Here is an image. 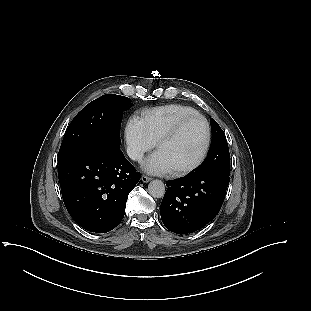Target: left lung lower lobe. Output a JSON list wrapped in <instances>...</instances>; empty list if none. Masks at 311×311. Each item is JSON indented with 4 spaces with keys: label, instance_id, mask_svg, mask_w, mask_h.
<instances>
[{
    "label": "left lung lower lobe",
    "instance_id": "0a47b994",
    "mask_svg": "<svg viewBox=\"0 0 311 311\" xmlns=\"http://www.w3.org/2000/svg\"><path fill=\"white\" fill-rule=\"evenodd\" d=\"M160 206L162 222L177 234L201 229L218 214L229 185V176L217 172L194 173L166 182Z\"/></svg>",
    "mask_w": 311,
    "mask_h": 311
}]
</instances>
